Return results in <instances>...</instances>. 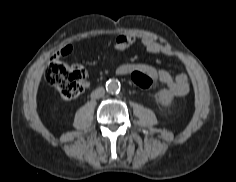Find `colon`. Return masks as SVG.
Returning <instances> with one entry per match:
<instances>
[{"label": "colon", "instance_id": "colon-1", "mask_svg": "<svg viewBox=\"0 0 236 182\" xmlns=\"http://www.w3.org/2000/svg\"><path fill=\"white\" fill-rule=\"evenodd\" d=\"M128 75L133 85L143 90L150 88L153 83L147 73L138 69L129 70ZM45 79L64 100L75 99L86 87L85 69L78 64L68 65L57 58L47 65Z\"/></svg>", "mask_w": 236, "mask_h": 182}]
</instances>
